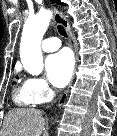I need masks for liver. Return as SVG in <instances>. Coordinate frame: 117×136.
Returning a JSON list of instances; mask_svg holds the SVG:
<instances>
[{
    "mask_svg": "<svg viewBox=\"0 0 117 136\" xmlns=\"http://www.w3.org/2000/svg\"><path fill=\"white\" fill-rule=\"evenodd\" d=\"M44 125L40 110L16 108L6 114L0 136H40Z\"/></svg>",
    "mask_w": 117,
    "mask_h": 136,
    "instance_id": "obj_1",
    "label": "liver"
}]
</instances>
